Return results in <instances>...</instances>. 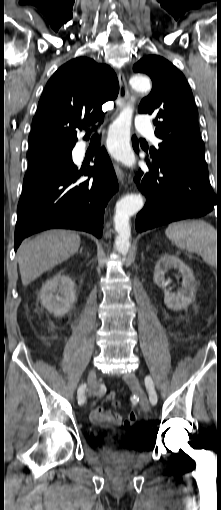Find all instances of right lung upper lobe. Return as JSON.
I'll return each instance as SVG.
<instances>
[{
  "instance_id": "right-lung-upper-lobe-1",
  "label": "right lung upper lobe",
  "mask_w": 221,
  "mask_h": 510,
  "mask_svg": "<svg viewBox=\"0 0 221 510\" xmlns=\"http://www.w3.org/2000/svg\"><path fill=\"white\" fill-rule=\"evenodd\" d=\"M118 79L106 64L86 57L61 66L47 82L32 121L29 151L73 148L76 129L103 122L102 105L117 97ZM86 133L84 139L89 138Z\"/></svg>"
}]
</instances>
